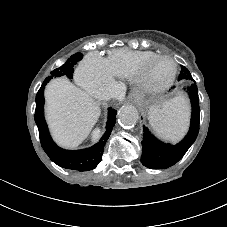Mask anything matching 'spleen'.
<instances>
[{"mask_svg":"<svg viewBox=\"0 0 227 227\" xmlns=\"http://www.w3.org/2000/svg\"><path fill=\"white\" fill-rule=\"evenodd\" d=\"M148 118L151 127L162 139L177 142L188 127V108L180 98L165 103L162 108H150Z\"/></svg>","mask_w":227,"mask_h":227,"instance_id":"1","label":"spleen"}]
</instances>
